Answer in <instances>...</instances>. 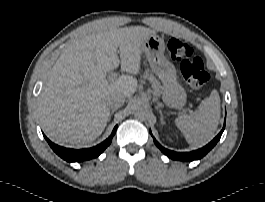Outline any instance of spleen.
<instances>
[{"instance_id":"obj_1","label":"spleen","mask_w":265,"mask_h":202,"mask_svg":"<svg viewBox=\"0 0 265 202\" xmlns=\"http://www.w3.org/2000/svg\"><path fill=\"white\" fill-rule=\"evenodd\" d=\"M219 118L220 98L218 92L213 90L200 103L195 114L180 115L175 119V124L189 144L200 146L213 138Z\"/></svg>"}]
</instances>
